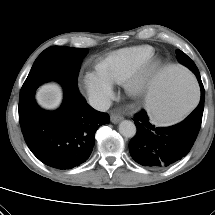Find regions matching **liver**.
<instances>
[{
    "mask_svg": "<svg viewBox=\"0 0 215 215\" xmlns=\"http://www.w3.org/2000/svg\"><path fill=\"white\" fill-rule=\"evenodd\" d=\"M62 99L60 87L55 83L41 86L36 94V100L45 109H55Z\"/></svg>",
    "mask_w": 215,
    "mask_h": 215,
    "instance_id": "6515ba94",
    "label": "liver"
}]
</instances>
